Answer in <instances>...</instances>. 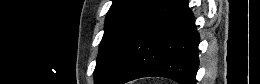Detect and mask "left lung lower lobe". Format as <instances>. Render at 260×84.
<instances>
[{"label": "left lung lower lobe", "mask_w": 260, "mask_h": 84, "mask_svg": "<svg viewBox=\"0 0 260 84\" xmlns=\"http://www.w3.org/2000/svg\"><path fill=\"white\" fill-rule=\"evenodd\" d=\"M199 34L187 0H160L132 35L103 84L150 76L195 84Z\"/></svg>", "instance_id": "left-lung-lower-lobe-1"}]
</instances>
